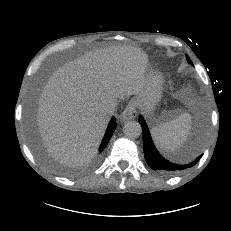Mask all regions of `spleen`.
<instances>
[{"instance_id": "1", "label": "spleen", "mask_w": 231, "mask_h": 231, "mask_svg": "<svg viewBox=\"0 0 231 231\" xmlns=\"http://www.w3.org/2000/svg\"><path fill=\"white\" fill-rule=\"evenodd\" d=\"M192 117L185 112L168 122L154 126L151 134L156 146L164 152H173L187 139Z\"/></svg>"}]
</instances>
